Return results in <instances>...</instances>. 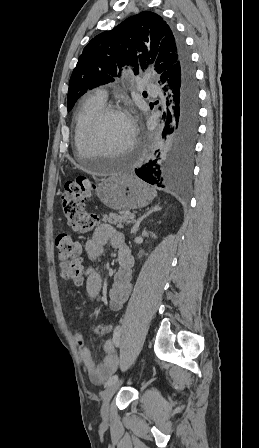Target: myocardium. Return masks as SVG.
I'll use <instances>...</instances> for the list:
<instances>
[{"instance_id":"myocardium-1","label":"myocardium","mask_w":259,"mask_h":448,"mask_svg":"<svg viewBox=\"0 0 259 448\" xmlns=\"http://www.w3.org/2000/svg\"><path fill=\"white\" fill-rule=\"evenodd\" d=\"M119 115L127 118L129 117L122 106L109 104L104 105L88 122L85 127L83 134L84 145L87 149H106L99 141V130L101 128L104 120L110 116ZM137 142V133L136 129L133 127V137L129 149H132ZM78 157V163L83 162V154L82 151H79L76 155ZM88 171H99V170H88Z\"/></svg>"}]
</instances>
